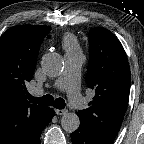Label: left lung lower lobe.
Instances as JSON below:
<instances>
[{
    "label": "left lung lower lobe",
    "mask_w": 144,
    "mask_h": 144,
    "mask_svg": "<svg viewBox=\"0 0 144 144\" xmlns=\"http://www.w3.org/2000/svg\"><path fill=\"white\" fill-rule=\"evenodd\" d=\"M72 144H113L115 137L101 135L80 122L79 128L71 134Z\"/></svg>",
    "instance_id": "obj_1"
}]
</instances>
